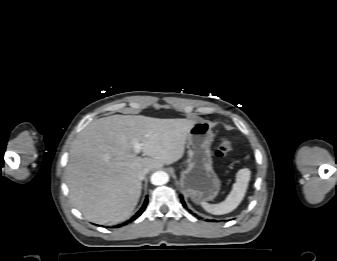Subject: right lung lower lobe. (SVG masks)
Here are the masks:
<instances>
[{
  "instance_id": "right-lung-lower-lobe-1",
  "label": "right lung lower lobe",
  "mask_w": 337,
  "mask_h": 261,
  "mask_svg": "<svg viewBox=\"0 0 337 261\" xmlns=\"http://www.w3.org/2000/svg\"><path fill=\"white\" fill-rule=\"evenodd\" d=\"M147 204H148V198L145 199L144 204L141 207V209L128 222H131V221L135 220L136 218H138L143 213V211L145 210ZM123 225H125V223Z\"/></svg>"
}]
</instances>
